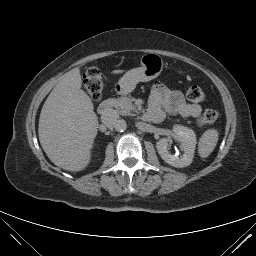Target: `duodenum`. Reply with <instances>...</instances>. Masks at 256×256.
Returning a JSON list of instances; mask_svg holds the SVG:
<instances>
[{
	"mask_svg": "<svg viewBox=\"0 0 256 256\" xmlns=\"http://www.w3.org/2000/svg\"><path fill=\"white\" fill-rule=\"evenodd\" d=\"M112 103L113 102H112L111 99L104 100L98 106V113L102 114V115L108 113L111 110V108H112Z\"/></svg>",
	"mask_w": 256,
	"mask_h": 256,
	"instance_id": "1",
	"label": "duodenum"
}]
</instances>
